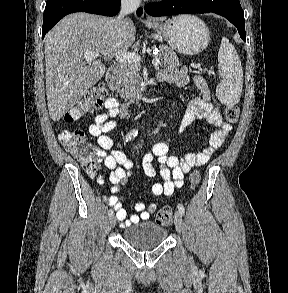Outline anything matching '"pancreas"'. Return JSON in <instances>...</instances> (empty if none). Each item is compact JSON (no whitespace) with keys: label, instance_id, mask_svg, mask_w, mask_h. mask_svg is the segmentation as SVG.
Here are the masks:
<instances>
[{"label":"pancreas","instance_id":"pancreas-1","mask_svg":"<svg viewBox=\"0 0 288 293\" xmlns=\"http://www.w3.org/2000/svg\"><path fill=\"white\" fill-rule=\"evenodd\" d=\"M158 58L161 60L160 65L170 70L176 71L180 66L176 53L166 45L159 46ZM141 81L139 64L125 62L118 65L114 88L125 101L139 99L144 91Z\"/></svg>","mask_w":288,"mask_h":293}]
</instances>
